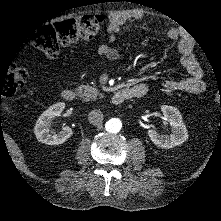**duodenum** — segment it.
Segmentation results:
<instances>
[{
  "label": "duodenum",
  "mask_w": 221,
  "mask_h": 221,
  "mask_svg": "<svg viewBox=\"0 0 221 221\" xmlns=\"http://www.w3.org/2000/svg\"><path fill=\"white\" fill-rule=\"evenodd\" d=\"M146 91L147 88L144 85H136L132 88L118 90L112 95L111 101L114 105H121L132 98L144 96ZM62 97L66 101H74L79 97V93L75 89H65L62 92Z\"/></svg>",
  "instance_id": "obj_1"
}]
</instances>
